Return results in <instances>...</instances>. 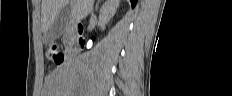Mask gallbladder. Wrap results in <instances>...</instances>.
<instances>
[{"instance_id":"bac80fb5","label":"gallbladder","mask_w":232,"mask_h":96,"mask_svg":"<svg viewBox=\"0 0 232 96\" xmlns=\"http://www.w3.org/2000/svg\"><path fill=\"white\" fill-rule=\"evenodd\" d=\"M72 12V8L69 4L65 5L60 12L57 14L54 22L48 29V31L44 34L43 42L48 44L55 39L59 38L66 29L68 24L70 15Z\"/></svg>"}]
</instances>
